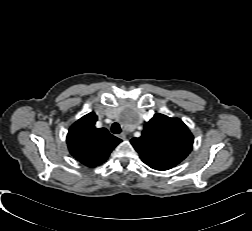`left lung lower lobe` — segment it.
Instances as JSON below:
<instances>
[{"mask_svg":"<svg viewBox=\"0 0 252 231\" xmlns=\"http://www.w3.org/2000/svg\"><path fill=\"white\" fill-rule=\"evenodd\" d=\"M168 169H170V168H164V167L156 168V170H161V171L168 170Z\"/></svg>","mask_w":252,"mask_h":231,"instance_id":"left-lung-lower-lobe-1","label":"left lung lower lobe"}]
</instances>
